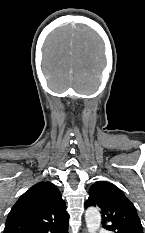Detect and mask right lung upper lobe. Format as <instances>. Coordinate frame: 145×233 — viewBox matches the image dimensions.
<instances>
[{
  "label": "right lung upper lobe",
  "instance_id": "obj_1",
  "mask_svg": "<svg viewBox=\"0 0 145 233\" xmlns=\"http://www.w3.org/2000/svg\"><path fill=\"white\" fill-rule=\"evenodd\" d=\"M68 219L58 188L51 182H39L14 204L4 233H63Z\"/></svg>",
  "mask_w": 145,
  "mask_h": 233
}]
</instances>
